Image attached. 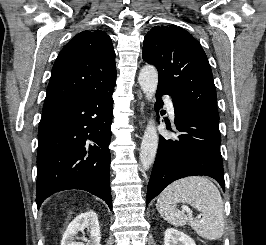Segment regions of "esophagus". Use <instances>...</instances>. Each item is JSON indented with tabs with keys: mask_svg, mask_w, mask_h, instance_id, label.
Here are the masks:
<instances>
[{
	"mask_svg": "<svg viewBox=\"0 0 266 245\" xmlns=\"http://www.w3.org/2000/svg\"><path fill=\"white\" fill-rule=\"evenodd\" d=\"M140 123H141V128H143V125H142V124H143L144 122H140Z\"/></svg>",
	"mask_w": 266,
	"mask_h": 245,
	"instance_id": "1",
	"label": "esophagus"
}]
</instances>
